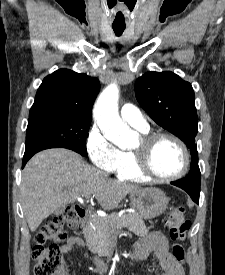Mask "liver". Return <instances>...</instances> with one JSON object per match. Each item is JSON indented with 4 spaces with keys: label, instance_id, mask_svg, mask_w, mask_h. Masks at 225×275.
<instances>
[{
    "label": "liver",
    "instance_id": "1",
    "mask_svg": "<svg viewBox=\"0 0 225 275\" xmlns=\"http://www.w3.org/2000/svg\"><path fill=\"white\" fill-rule=\"evenodd\" d=\"M21 202L31 232L60 207L95 195L104 210L116 208L138 186L112 180L68 149L34 155L22 173Z\"/></svg>",
    "mask_w": 225,
    "mask_h": 275
}]
</instances>
